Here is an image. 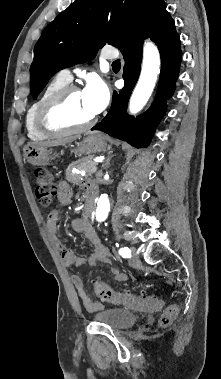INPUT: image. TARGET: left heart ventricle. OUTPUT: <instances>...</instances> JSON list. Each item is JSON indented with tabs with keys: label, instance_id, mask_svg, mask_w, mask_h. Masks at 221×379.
<instances>
[{
	"label": "left heart ventricle",
	"instance_id": "b2bd125f",
	"mask_svg": "<svg viewBox=\"0 0 221 379\" xmlns=\"http://www.w3.org/2000/svg\"><path fill=\"white\" fill-rule=\"evenodd\" d=\"M93 116L82 97V93L76 91L66 100L59 118L68 125H79L87 122Z\"/></svg>",
	"mask_w": 221,
	"mask_h": 379
}]
</instances>
